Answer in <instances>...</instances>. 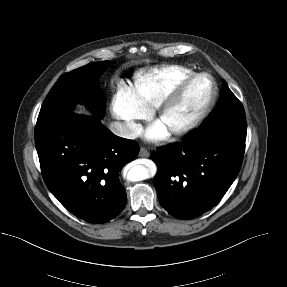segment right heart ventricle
Listing matches in <instances>:
<instances>
[{
  "instance_id": "1",
  "label": "right heart ventricle",
  "mask_w": 287,
  "mask_h": 287,
  "mask_svg": "<svg viewBox=\"0 0 287 287\" xmlns=\"http://www.w3.org/2000/svg\"><path fill=\"white\" fill-rule=\"evenodd\" d=\"M192 73L194 71L191 68L181 65L140 70L133 77L131 89L143 110L150 113L184 78Z\"/></svg>"
}]
</instances>
